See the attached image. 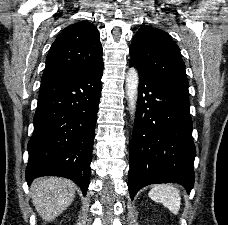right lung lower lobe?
I'll return each mask as SVG.
<instances>
[{
    "label": "right lung lower lobe",
    "instance_id": "1",
    "mask_svg": "<svg viewBox=\"0 0 228 225\" xmlns=\"http://www.w3.org/2000/svg\"><path fill=\"white\" fill-rule=\"evenodd\" d=\"M102 73L103 60L79 73L41 83L28 143V184L39 176H62L86 194Z\"/></svg>",
    "mask_w": 228,
    "mask_h": 225
}]
</instances>
